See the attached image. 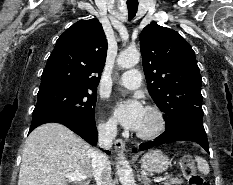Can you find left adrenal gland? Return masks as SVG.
Instances as JSON below:
<instances>
[{"instance_id":"1","label":"left adrenal gland","mask_w":233,"mask_h":185,"mask_svg":"<svg viewBox=\"0 0 233 185\" xmlns=\"http://www.w3.org/2000/svg\"><path fill=\"white\" fill-rule=\"evenodd\" d=\"M140 180H142L144 185H149L151 181L145 174H141Z\"/></svg>"}]
</instances>
